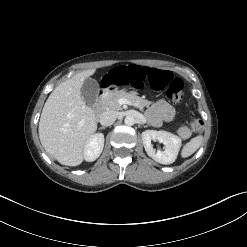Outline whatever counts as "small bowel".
I'll return each mask as SVG.
<instances>
[{
  "instance_id": "small-bowel-1",
  "label": "small bowel",
  "mask_w": 247,
  "mask_h": 247,
  "mask_svg": "<svg viewBox=\"0 0 247 247\" xmlns=\"http://www.w3.org/2000/svg\"><path fill=\"white\" fill-rule=\"evenodd\" d=\"M151 113L155 123H159L161 120L170 121L174 116V109L166 101L159 100L153 106Z\"/></svg>"
}]
</instances>
